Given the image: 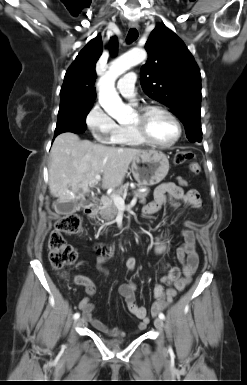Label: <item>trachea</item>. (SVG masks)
Here are the masks:
<instances>
[{
  "instance_id": "3493384b",
  "label": "trachea",
  "mask_w": 247,
  "mask_h": 385,
  "mask_svg": "<svg viewBox=\"0 0 247 385\" xmlns=\"http://www.w3.org/2000/svg\"><path fill=\"white\" fill-rule=\"evenodd\" d=\"M138 31L135 28H131L127 35V42L132 43L138 38Z\"/></svg>"
}]
</instances>
